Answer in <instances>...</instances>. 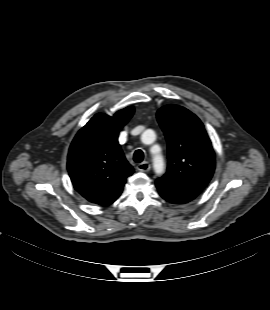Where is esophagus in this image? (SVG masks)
Instances as JSON below:
<instances>
[{
    "instance_id": "esophagus-1",
    "label": "esophagus",
    "mask_w": 270,
    "mask_h": 310,
    "mask_svg": "<svg viewBox=\"0 0 270 310\" xmlns=\"http://www.w3.org/2000/svg\"><path fill=\"white\" fill-rule=\"evenodd\" d=\"M137 169L141 172H147L150 170V164L148 162H142L137 165Z\"/></svg>"
}]
</instances>
